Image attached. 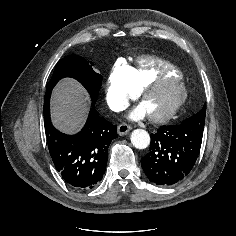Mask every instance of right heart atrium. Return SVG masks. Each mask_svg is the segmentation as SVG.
Returning a JSON list of instances; mask_svg holds the SVG:
<instances>
[{
  "label": "right heart atrium",
  "mask_w": 236,
  "mask_h": 236,
  "mask_svg": "<svg viewBox=\"0 0 236 236\" xmlns=\"http://www.w3.org/2000/svg\"><path fill=\"white\" fill-rule=\"evenodd\" d=\"M130 73V66L124 61H119L108 75L105 97L108 105L114 110L123 109L135 96V91L130 84Z\"/></svg>",
  "instance_id": "obj_1"
}]
</instances>
